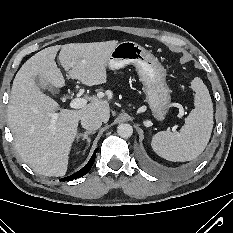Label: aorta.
I'll return each instance as SVG.
<instances>
[{
  "mask_svg": "<svg viewBox=\"0 0 233 233\" xmlns=\"http://www.w3.org/2000/svg\"><path fill=\"white\" fill-rule=\"evenodd\" d=\"M117 133L122 138H129L133 134V128L130 124L122 123L118 125Z\"/></svg>",
  "mask_w": 233,
  "mask_h": 233,
  "instance_id": "1",
  "label": "aorta"
}]
</instances>
